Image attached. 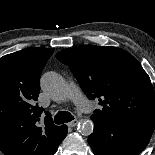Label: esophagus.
I'll use <instances>...</instances> for the list:
<instances>
[{"mask_svg": "<svg viewBox=\"0 0 155 155\" xmlns=\"http://www.w3.org/2000/svg\"><path fill=\"white\" fill-rule=\"evenodd\" d=\"M78 122H79L78 120H73V121L69 122V123L67 124V126H68V127H75V126L77 125Z\"/></svg>", "mask_w": 155, "mask_h": 155, "instance_id": "1", "label": "esophagus"}]
</instances>
